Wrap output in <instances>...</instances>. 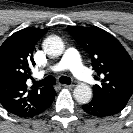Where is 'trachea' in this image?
<instances>
[{
	"instance_id": "1",
	"label": "trachea",
	"mask_w": 133,
	"mask_h": 133,
	"mask_svg": "<svg viewBox=\"0 0 133 133\" xmlns=\"http://www.w3.org/2000/svg\"><path fill=\"white\" fill-rule=\"evenodd\" d=\"M60 83L62 84H71V79L66 76H61L59 78ZM56 83V79L53 76H47L46 78L40 80V81H34L35 86H50L54 85Z\"/></svg>"
}]
</instances>
